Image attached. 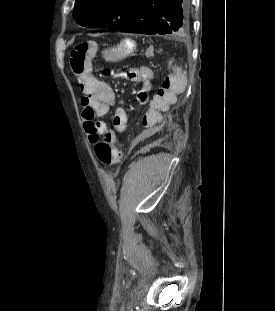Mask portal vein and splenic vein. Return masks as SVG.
<instances>
[{"label": "portal vein and splenic vein", "mask_w": 275, "mask_h": 311, "mask_svg": "<svg viewBox=\"0 0 275 311\" xmlns=\"http://www.w3.org/2000/svg\"><path fill=\"white\" fill-rule=\"evenodd\" d=\"M153 55V49H149L147 52H146V56L147 57H150Z\"/></svg>", "instance_id": "18ae733b"}]
</instances>
